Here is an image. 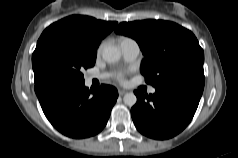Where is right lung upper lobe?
Returning a JSON list of instances; mask_svg holds the SVG:
<instances>
[{
	"label": "right lung upper lobe",
	"mask_w": 238,
	"mask_h": 158,
	"mask_svg": "<svg viewBox=\"0 0 238 158\" xmlns=\"http://www.w3.org/2000/svg\"><path fill=\"white\" fill-rule=\"evenodd\" d=\"M117 25L114 21H102L89 16L72 15L51 24L48 28L82 37L90 45L99 46L101 40Z\"/></svg>",
	"instance_id": "cb5924a9"
}]
</instances>
